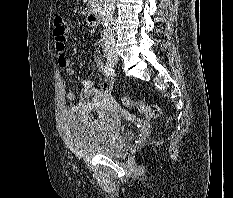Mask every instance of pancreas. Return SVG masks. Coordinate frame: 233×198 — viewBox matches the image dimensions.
<instances>
[{"instance_id": "pancreas-1", "label": "pancreas", "mask_w": 233, "mask_h": 198, "mask_svg": "<svg viewBox=\"0 0 233 198\" xmlns=\"http://www.w3.org/2000/svg\"><path fill=\"white\" fill-rule=\"evenodd\" d=\"M102 5V0H89L88 6L91 8L100 7Z\"/></svg>"}]
</instances>
